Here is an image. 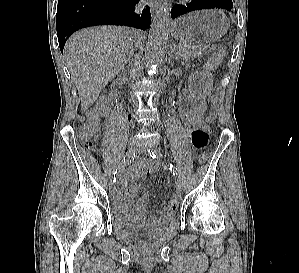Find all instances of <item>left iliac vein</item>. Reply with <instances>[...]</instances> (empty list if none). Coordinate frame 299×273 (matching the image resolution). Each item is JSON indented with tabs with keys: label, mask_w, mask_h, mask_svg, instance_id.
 Listing matches in <instances>:
<instances>
[{
	"label": "left iliac vein",
	"mask_w": 299,
	"mask_h": 273,
	"mask_svg": "<svg viewBox=\"0 0 299 273\" xmlns=\"http://www.w3.org/2000/svg\"><path fill=\"white\" fill-rule=\"evenodd\" d=\"M138 151L141 152V153H145V152H146V149H145V148H139ZM182 187H183V186H182L181 181H180V180H177V182H176V188H177V190L181 191V190H182Z\"/></svg>",
	"instance_id": "left-iliac-vein-1"
}]
</instances>
